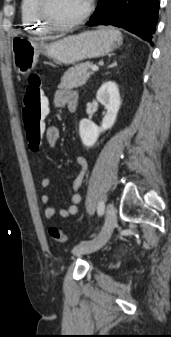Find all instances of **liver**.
<instances>
[{
  "label": "liver",
  "mask_w": 171,
  "mask_h": 337,
  "mask_svg": "<svg viewBox=\"0 0 171 337\" xmlns=\"http://www.w3.org/2000/svg\"><path fill=\"white\" fill-rule=\"evenodd\" d=\"M51 37H42V38H36V40H46V39H50Z\"/></svg>",
  "instance_id": "liver-1"
}]
</instances>
